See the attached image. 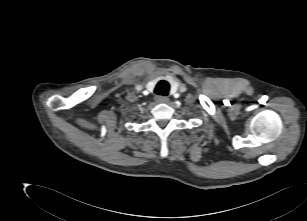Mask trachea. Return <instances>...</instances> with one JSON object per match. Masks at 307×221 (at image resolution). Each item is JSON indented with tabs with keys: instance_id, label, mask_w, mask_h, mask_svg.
I'll use <instances>...</instances> for the list:
<instances>
[{
	"instance_id": "trachea-1",
	"label": "trachea",
	"mask_w": 307,
	"mask_h": 221,
	"mask_svg": "<svg viewBox=\"0 0 307 221\" xmlns=\"http://www.w3.org/2000/svg\"><path fill=\"white\" fill-rule=\"evenodd\" d=\"M169 89H170V85L167 81L165 80H161L160 82H158V84L156 85L155 88V93L157 95H161V96H167L169 93Z\"/></svg>"
}]
</instances>
